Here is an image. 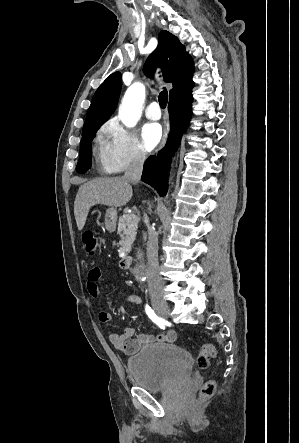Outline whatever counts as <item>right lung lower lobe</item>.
I'll use <instances>...</instances> for the list:
<instances>
[{"label":"right lung lower lobe","mask_w":299,"mask_h":443,"mask_svg":"<svg viewBox=\"0 0 299 443\" xmlns=\"http://www.w3.org/2000/svg\"><path fill=\"white\" fill-rule=\"evenodd\" d=\"M192 88L193 82L170 95L168 105L170 114L169 139L163 150L157 156H150L144 164L141 180L156 189L160 196H164L167 192L169 163L189 122Z\"/></svg>","instance_id":"right-lung-lower-lobe-1"}]
</instances>
